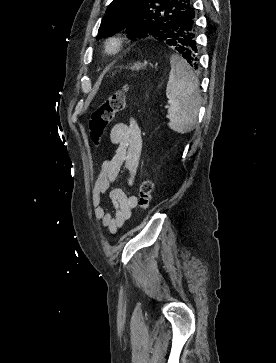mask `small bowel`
Wrapping results in <instances>:
<instances>
[{
  "label": "small bowel",
  "mask_w": 276,
  "mask_h": 363,
  "mask_svg": "<svg viewBox=\"0 0 276 363\" xmlns=\"http://www.w3.org/2000/svg\"><path fill=\"white\" fill-rule=\"evenodd\" d=\"M109 140L115 146V153L100 166L98 178L92 188V205L96 220L115 234L131 217L137 200L134 195L127 194L119 188H111V185L123 168L128 173L127 184H135L142 149L141 128L133 118H130L128 123H116L109 133ZM106 193H109L112 201L113 213L103 204Z\"/></svg>",
  "instance_id": "obj_1"
}]
</instances>
